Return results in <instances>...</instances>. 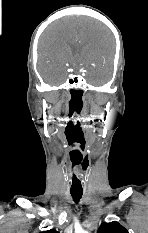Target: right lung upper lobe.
I'll use <instances>...</instances> for the list:
<instances>
[{
  "instance_id": "1",
  "label": "right lung upper lobe",
  "mask_w": 148,
  "mask_h": 233,
  "mask_svg": "<svg viewBox=\"0 0 148 233\" xmlns=\"http://www.w3.org/2000/svg\"><path fill=\"white\" fill-rule=\"evenodd\" d=\"M42 233H58L56 230L54 229H51V230H48V231H44Z\"/></svg>"
}]
</instances>
